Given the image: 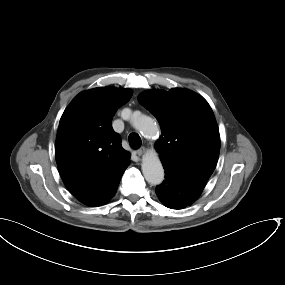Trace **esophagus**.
<instances>
[{
  "label": "esophagus",
  "instance_id": "34e87169",
  "mask_svg": "<svg viewBox=\"0 0 285 285\" xmlns=\"http://www.w3.org/2000/svg\"><path fill=\"white\" fill-rule=\"evenodd\" d=\"M144 153H145V148L144 147H141V148L136 150V154L138 156H142Z\"/></svg>",
  "mask_w": 285,
  "mask_h": 285
}]
</instances>
